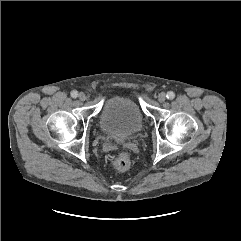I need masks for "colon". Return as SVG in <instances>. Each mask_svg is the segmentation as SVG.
<instances>
[{
  "label": "colon",
  "mask_w": 241,
  "mask_h": 241,
  "mask_svg": "<svg viewBox=\"0 0 241 241\" xmlns=\"http://www.w3.org/2000/svg\"><path fill=\"white\" fill-rule=\"evenodd\" d=\"M112 168L116 171H125L130 166V158L128 154L125 152H120L117 156L112 160Z\"/></svg>",
  "instance_id": "1"
}]
</instances>
